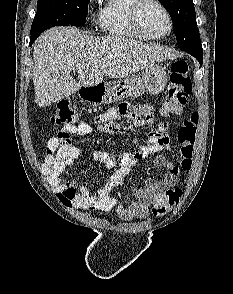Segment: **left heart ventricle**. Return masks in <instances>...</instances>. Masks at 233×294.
<instances>
[{"label":"left heart ventricle","mask_w":233,"mask_h":294,"mask_svg":"<svg viewBox=\"0 0 233 294\" xmlns=\"http://www.w3.org/2000/svg\"><path fill=\"white\" fill-rule=\"evenodd\" d=\"M142 23L146 30L153 35H161L169 27L165 13L155 4H147L143 8Z\"/></svg>","instance_id":"b2bd125f"}]
</instances>
